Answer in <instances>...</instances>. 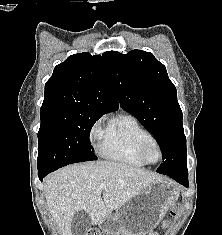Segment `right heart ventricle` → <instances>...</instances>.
Instances as JSON below:
<instances>
[{
  "instance_id": "e07e8e85",
  "label": "right heart ventricle",
  "mask_w": 222,
  "mask_h": 235,
  "mask_svg": "<svg viewBox=\"0 0 222 235\" xmlns=\"http://www.w3.org/2000/svg\"><path fill=\"white\" fill-rule=\"evenodd\" d=\"M153 139L152 134L133 115L120 113L112 117L102 131L98 150L105 159L144 167L146 164L139 156V148Z\"/></svg>"
}]
</instances>
